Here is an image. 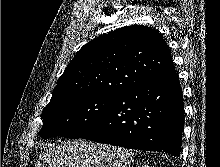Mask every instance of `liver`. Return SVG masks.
Here are the masks:
<instances>
[{
	"instance_id": "liver-1",
	"label": "liver",
	"mask_w": 220,
	"mask_h": 167,
	"mask_svg": "<svg viewBox=\"0 0 220 167\" xmlns=\"http://www.w3.org/2000/svg\"><path fill=\"white\" fill-rule=\"evenodd\" d=\"M134 153L85 140L47 144L35 167H130Z\"/></svg>"
}]
</instances>
